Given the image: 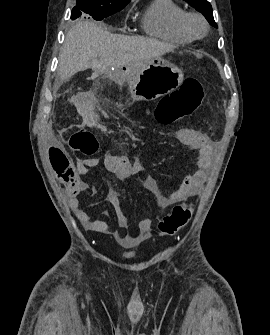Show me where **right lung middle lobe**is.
I'll use <instances>...</instances> for the list:
<instances>
[{"instance_id": "right-lung-middle-lobe-1", "label": "right lung middle lobe", "mask_w": 270, "mask_h": 335, "mask_svg": "<svg viewBox=\"0 0 270 335\" xmlns=\"http://www.w3.org/2000/svg\"><path fill=\"white\" fill-rule=\"evenodd\" d=\"M128 4V3H127ZM126 3H102L99 0H76V6L72 9L71 19H76L80 16L85 19H95L97 21L106 18L121 9Z\"/></svg>"}]
</instances>
